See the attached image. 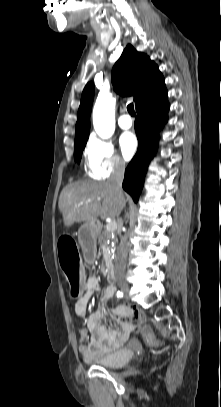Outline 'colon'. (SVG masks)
<instances>
[{
    "label": "colon",
    "mask_w": 221,
    "mask_h": 407,
    "mask_svg": "<svg viewBox=\"0 0 221 407\" xmlns=\"http://www.w3.org/2000/svg\"><path fill=\"white\" fill-rule=\"evenodd\" d=\"M58 249L60 265L68 278L72 293L75 294V297H78V292L82 286V276L79 255L75 243L72 238L64 236L59 240ZM141 335L147 345H159L150 327H142Z\"/></svg>",
    "instance_id": "colon-1"
}]
</instances>
